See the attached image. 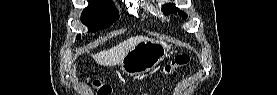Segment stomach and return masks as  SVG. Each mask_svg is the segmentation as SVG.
<instances>
[{"label":"stomach","instance_id":"obj_1","mask_svg":"<svg viewBox=\"0 0 277 95\" xmlns=\"http://www.w3.org/2000/svg\"><path fill=\"white\" fill-rule=\"evenodd\" d=\"M169 50L166 42L146 38L124 56L120 62L121 70L128 76L146 74L167 57Z\"/></svg>","mask_w":277,"mask_h":95}]
</instances>
